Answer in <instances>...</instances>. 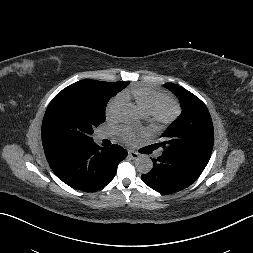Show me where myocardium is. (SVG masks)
Instances as JSON below:
<instances>
[{
  "label": "myocardium",
  "instance_id": "myocardium-1",
  "mask_svg": "<svg viewBox=\"0 0 253 253\" xmlns=\"http://www.w3.org/2000/svg\"><path fill=\"white\" fill-rule=\"evenodd\" d=\"M179 113L178 104L173 99L166 98L158 105L151 116L156 123L167 126L177 119Z\"/></svg>",
  "mask_w": 253,
  "mask_h": 253
}]
</instances>
